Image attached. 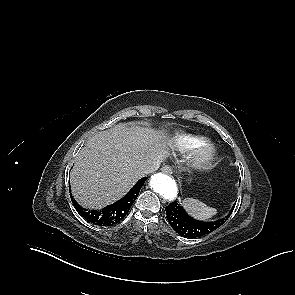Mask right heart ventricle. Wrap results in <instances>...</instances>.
I'll return each mask as SVG.
<instances>
[{
    "mask_svg": "<svg viewBox=\"0 0 295 295\" xmlns=\"http://www.w3.org/2000/svg\"><path fill=\"white\" fill-rule=\"evenodd\" d=\"M206 142L204 137L191 135V134H183L175 137L173 140V147L180 152H190L200 147L202 144Z\"/></svg>",
    "mask_w": 295,
    "mask_h": 295,
    "instance_id": "right-heart-ventricle-1",
    "label": "right heart ventricle"
}]
</instances>
